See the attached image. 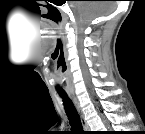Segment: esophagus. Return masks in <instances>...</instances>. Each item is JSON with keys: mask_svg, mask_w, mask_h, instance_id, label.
I'll return each mask as SVG.
<instances>
[{"mask_svg": "<svg viewBox=\"0 0 145 134\" xmlns=\"http://www.w3.org/2000/svg\"><path fill=\"white\" fill-rule=\"evenodd\" d=\"M73 100H74V104H75V107L77 109V112L79 114L80 121H81V124H82L84 131H89V126H88L87 121H86V119L81 111L79 103L77 102V100L75 98Z\"/></svg>", "mask_w": 145, "mask_h": 134, "instance_id": "esophagus-1", "label": "esophagus"}]
</instances>
